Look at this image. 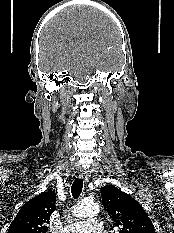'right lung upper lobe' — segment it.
<instances>
[{"label":"right lung upper lobe","instance_id":"obj_1","mask_svg":"<svg viewBox=\"0 0 174 233\" xmlns=\"http://www.w3.org/2000/svg\"><path fill=\"white\" fill-rule=\"evenodd\" d=\"M55 191H46L25 203L14 220L8 233H46L50 215L55 211Z\"/></svg>","mask_w":174,"mask_h":233}]
</instances>
